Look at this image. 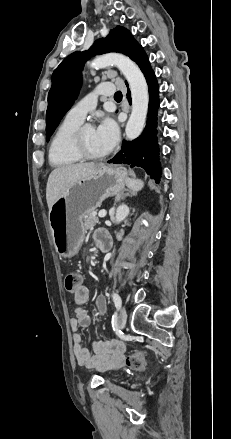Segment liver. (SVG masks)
Instances as JSON below:
<instances>
[{"instance_id":"6515ba94","label":"liver","mask_w":231,"mask_h":439,"mask_svg":"<svg viewBox=\"0 0 231 439\" xmlns=\"http://www.w3.org/2000/svg\"><path fill=\"white\" fill-rule=\"evenodd\" d=\"M104 164L79 163L55 168L49 175L46 200L49 210L53 204L75 183L95 174Z\"/></svg>"}]
</instances>
